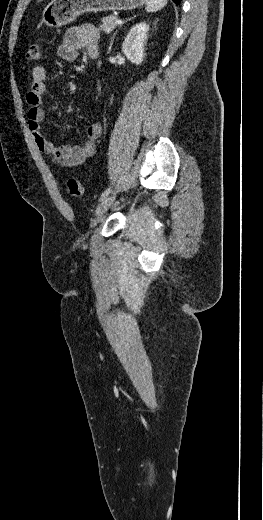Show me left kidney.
Segmentation results:
<instances>
[{
	"instance_id": "5707ae66",
	"label": "left kidney",
	"mask_w": 263,
	"mask_h": 520,
	"mask_svg": "<svg viewBox=\"0 0 263 520\" xmlns=\"http://www.w3.org/2000/svg\"><path fill=\"white\" fill-rule=\"evenodd\" d=\"M149 26L146 23L136 24L127 34L122 51L134 64H141L144 59V44L147 39Z\"/></svg>"
}]
</instances>
